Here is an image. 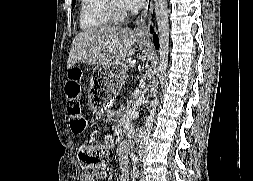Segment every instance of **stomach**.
<instances>
[{
	"label": "stomach",
	"instance_id": "obj_1",
	"mask_svg": "<svg viewBox=\"0 0 253 181\" xmlns=\"http://www.w3.org/2000/svg\"><path fill=\"white\" fill-rule=\"evenodd\" d=\"M128 68L127 61L95 67L90 81V93L93 98L90 109L94 116L100 117L109 111L124 84Z\"/></svg>",
	"mask_w": 253,
	"mask_h": 181
}]
</instances>
